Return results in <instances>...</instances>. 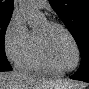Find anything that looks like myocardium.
<instances>
[{
  "label": "myocardium",
  "instance_id": "f54148a6",
  "mask_svg": "<svg viewBox=\"0 0 89 89\" xmlns=\"http://www.w3.org/2000/svg\"><path fill=\"white\" fill-rule=\"evenodd\" d=\"M46 24L49 29H51V28L62 29L67 34V36L70 38V40L72 41V43L74 45V48L76 51V60H75V64L73 65V67H71L69 69H65V70L56 69L52 64L45 38L40 33L36 32L39 50L42 54V57H43L46 65L57 75H59V76L65 75L66 73L75 70L80 63V49H79L78 43H77L75 37L73 36V34L71 33V31L69 30V28L66 27L64 24L56 22V21H50V20L46 21Z\"/></svg>",
  "mask_w": 89,
  "mask_h": 89
}]
</instances>
